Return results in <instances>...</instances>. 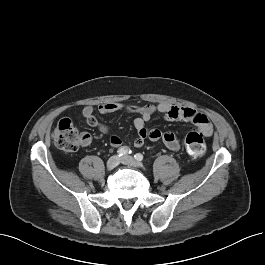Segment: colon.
<instances>
[{
    "mask_svg": "<svg viewBox=\"0 0 265 265\" xmlns=\"http://www.w3.org/2000/svg\"><path fill=\"white\" fill-rule=\"evenodd\" d=\"M53 141L58 148L66 152H75L79 149L81 135L69 119H62L53 132ZM185 148L192 157H201L206 144L202 133L197 131L188 132L184 139Z\"/></svg>",
    "mask_w": 265,
    "mask_h": 265,
    "instance_id": "obj_1",
    "label": "colon"
}]
</instances>
